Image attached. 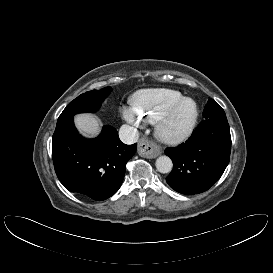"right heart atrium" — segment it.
<instances>
[{"label": "right heart atrium", "instance_id": "d8ad5b80", "mask_svg": "<svg viewBox=\"0 0 273 273\" xmlns=\"http://www.w3.org/2000/svg\"><path fill=\"white\" fill-rule=\"evenodd\" d=\"M122 117L133 127L139 128L143 125V120L138 112L132 106H123L121 108Z\"/></svg>", "mask_w": 273, "mask_h": 273}]
</instances>
